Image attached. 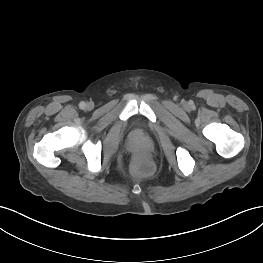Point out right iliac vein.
Here are the masks:
<instances>
[{
    "instance_id": "63e3f726",
    "label": "right iliac vein",
    "mask_w": 263,
    "mask_h": 263,
    "mask_svg": "<svg viewBox=\"0 0 263 263\" xmlns=\"http://www.w3.org/2000/svg\"><path fill=\"white\" fill-rule=\"evenodd\" d=\"M88 109H91L93 107V104L92 103H88L87 106H86Z\"/></svg>"
}]
</instances>
